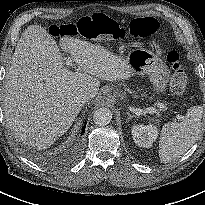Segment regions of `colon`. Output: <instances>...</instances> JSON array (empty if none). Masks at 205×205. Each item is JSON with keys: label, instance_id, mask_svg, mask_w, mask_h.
<instances>
[{"label": "colon", "instance_id": "1", "mask_svg": "<svg viewBox=\"0 0 205 205\" xmlns=\"http://www.w3.org/2000/svg\"><path fill=\"white\" fill-rule=\"evenodd\" d=\"M130 33L134 37L150 38L155 36L159 30V22L153 17H138L130 22ZM118 28L104 14H92L84 17L80 23L54 24L50 26L49 32L52 36L76 37L81 36L87 40L103 41L113 38L118 33ZM167 60L171 65L172 77L170 87L173 93L182 94L187 87V75L180 63V54L177 50H170Z\"/></svg>", "mask_w": 205, "mask_h": 205}]
</instances>
